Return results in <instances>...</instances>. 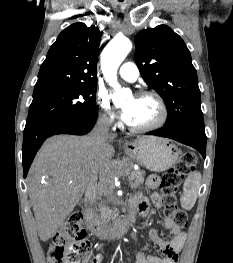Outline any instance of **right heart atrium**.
Masks as SVG:
<instances>
[{
  "label": "right heart atrium",
  "mask_w": 233,
  "mask_h": 263,
  "mask_svg": "<svg viewBox=\"0 0 233 263\" xmlns=\"http://www.w3.org/2000/svg\"><path fill=\"white\" fill-rule=\"evenodd\" d=\"M97 104L100 107V121L106 126H114L117 124V116L112 108L107 94L103 92L97 93Z\"/></svg>",
  "instance_id": "right-heart-atrium-1"
}]
</instances>
